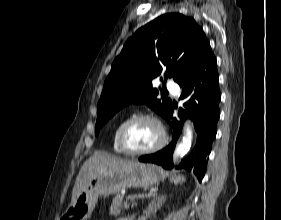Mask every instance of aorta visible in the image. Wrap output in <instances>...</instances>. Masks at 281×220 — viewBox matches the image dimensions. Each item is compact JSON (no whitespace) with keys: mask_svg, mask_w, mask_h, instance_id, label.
Wrapping results in <instances>:
<instances>
[{"mask_svg":"<svg viewBox=\"0 0 281 220\" xmlns=\"http://www.w3.org/2000/svg\"><path fill=\"white\" fill-rule=\"evenodd\" d=\"M192 142V130L189 125L185 126V137L183 141L176 147L173 159L176 160L179 157H182L191 147Z\"/></svg>","mask_w":281,"mask_h":220,"instance_id":"762f6f07","label":"aorta"}]
</instances>
